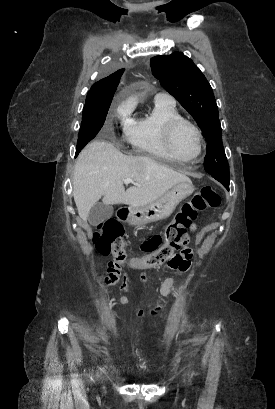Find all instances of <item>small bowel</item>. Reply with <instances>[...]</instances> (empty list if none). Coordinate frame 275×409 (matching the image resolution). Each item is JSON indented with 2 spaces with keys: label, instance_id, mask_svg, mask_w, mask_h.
<instances>
[{
  "label": "small bowel",
  "instance_id": "1",
  "mask_svg": "<svg viewBox=\"0 0 275 409\" xmlns=\"http://www.w3.org/2000/svg\"><path fill=\"white\" fill-rule=\"evenodd\" d=\"M197 231V225L194 224L192 225L190 232L192 235H194ZM169 261L171 262L169 264V268L173 270H177L180 272H187L191 268V263L193 262V257H192V251L190 248H185L181 251V253L178 254L177 258L175 256H171L169 258ZM133 278L132 274L129 273H123L121 268H110L109 269V275L108 277L103 279V282L105 283V286L107 288H110L111 286H114L115 284L120 282V287L121 288H126L127 284L130 282V279ZM142 282L146 281L145 275L141 276ZM174 286V280L172 278H167L163 281L160 292L163 296H168ZM121 302L123 304H132L134 305V301L132 297L129 295L128 291L125 290L124 295L121 298ZM152 312L154 314H159L161 312V307L159 305H154L152 307ZM135 313L137 317L142 318L145 315V311L143 308L136 306L135 305ZM135 324V323H134Z\"/></svg>",
  "mask_w": 275,
  "mask_h": 409
}]
</instances>
